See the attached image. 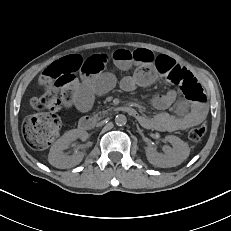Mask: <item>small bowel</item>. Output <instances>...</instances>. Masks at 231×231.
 <instances>
[{
    "mask_svg": "<svg viewBox=\"0 0 231 231\" xmlns=\"http://www.w3.org/2000/svg\"><path fill=\"white\" fill-rule=\"evenodd\" d=\"M66 64L74 74L71 83L72 97L65 101L66 105L73 103L78 109L86 111L91 107L96 95L109 92L117 83L116 77L105 70L113 63L121 70L135 67L133 74L121 79L120 86L126 91L152 84L158 76L170 80L174 71L186 70L172 58L162 55L155 57L147 49H117L93 54H74L59 60ZM189 72V71H188ZM154 106L161 110L152 118L139 116L142 125L159 131H177L202 123L208 112L204 101L190 98H178L175 91L170 90L153 100ZM170 109L171 112L167 110Z\"/></svg>",
    "mask_w": 231,
    "mask_h": 231,
    "instance_id": "c3829d8e",
    "label": "small bowel"
}]
</instances>
